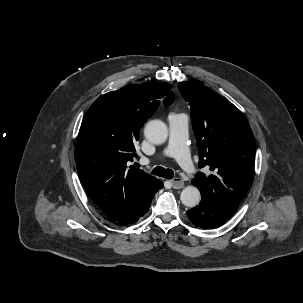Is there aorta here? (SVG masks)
<instances>
[{"label":"aorta","mask_w":303,"mask_h":303,"mask_svg":"<svg viewBox=\"0 0 303 303\" xmlns=\"http://www.w3.org/2000/svg\"><path fill=\"white\" fill-rule=\"evenodd\" d=\"M144 134L148 141L159 145L167 140L168 128L161 120H152L146 124ZM180 200L187 207H195L201 200L200 191L195 186H187L182 190Z\"/></svg>","instance_id":"aorta-1"}]
</instances>
